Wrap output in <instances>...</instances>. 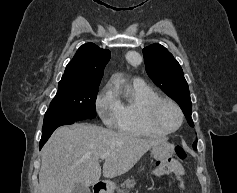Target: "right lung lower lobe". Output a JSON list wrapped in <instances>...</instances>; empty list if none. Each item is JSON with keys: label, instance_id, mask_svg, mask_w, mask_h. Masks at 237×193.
I'll list each match as a JSON object with an SVG mask.
<instances>
[{"label": "right lung lower lobe", "instance_id": "obj_1", "mask_svg": "<svg viewBox=\"0 0 237 193\" xmlns=\"http://www.w3.org/2000/svg\"><path fill=\"white\" fill-rule=\"evenodd\" d=\"M75 121L65 118L63 116L45 114L43 129H42V137L40 141V149L47 142L51 134L54 132L56 128L62 125L73 124Z\"/></svg>", "mask_w": 237, "mask_h": 193}]
</instances>
